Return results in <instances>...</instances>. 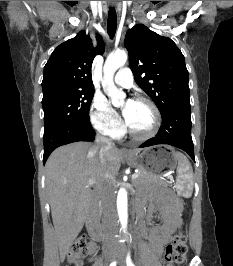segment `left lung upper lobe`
<instances>
[{
    "instance_id": "obj_1",
    "label": "left lung upper lobe",
    "mask_w": 233,
    "mask_h": 266,
    "mask_svg": "<svg viewBox=\"0 0 233 266\" xmlns=\"http://www.w3.org/2000/svg\"><path fill=\"white\" fill-rule=\"evenodd\" d=\"M125 47L134 79L162 114L171 104L189 99L188 71L175 43L142 24L128 30Z\"/></svg>"
}]
</instances>
